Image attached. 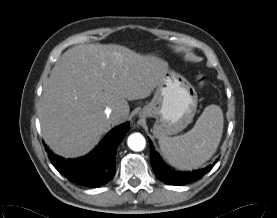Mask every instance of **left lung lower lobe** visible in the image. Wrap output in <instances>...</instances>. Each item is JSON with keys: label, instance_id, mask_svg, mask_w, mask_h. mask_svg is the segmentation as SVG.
Wrapping results in <instances>:
<instances>
[{"label": "left lung lower lobe", "instance_id": "1", "mask_svg": "<svg viewBox=\"0 0 277 218\" xmlns=\"http://www.w3.org/2000/svg\"><path fill=\"white\" fill-rule=\"evenodd\" d=\"M150 161L152 168L154 170L155 175L158 179L163 181L165 184H172V185H182L186 183H191L200 179L204 176L207 172H209L213 165H210L201 170H195L193 172H176L171 171L165 164L162 162L160 156L154 150L153 145L150 143Z\"/></svg>", "mask_w": 277, "mask_h": 218}]
</instances>
